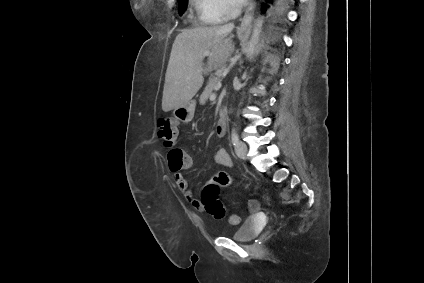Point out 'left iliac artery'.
Here are the masks:
<instances>
[{"instance_id":"left-iliac-artery-1","label":"left iliac artery","mask_w":424,"mask_h":283,"mask_svg":"<svg viewBox=\"0 0 424 283\" xmlns=\"http://www.w3.org/2000/svg\"><path fill=\"white\" fill-rule=\"evenodd\" d=\"M231 139H232V143L235 147H237L238 143H239V138H238V134L236 132L235 129L232 130V135H231Z\"/></svg>"}]
</instances>
